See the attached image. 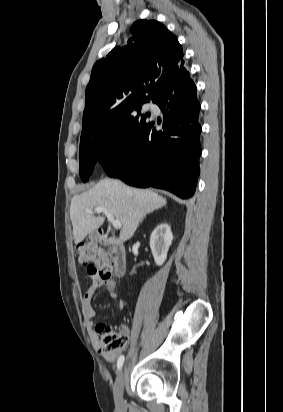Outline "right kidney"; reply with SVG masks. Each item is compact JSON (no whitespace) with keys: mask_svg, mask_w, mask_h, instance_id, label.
<instances>
[{"mask_svg":"<svg viewBox=\"0 0 283 412\" xmlns=\"http://www.w3.org/2000/svg\"><path fill=\"white\" fill-rule=\"evenodd\" d=\"M173 235L168 224H160L155 228L150 237V248L156 265L161 266L166 258Z\"/></svg>","mask_w":283,"mask_h":412,"instance_id":"obj_1","label":"right kidney"}]
</instances>
